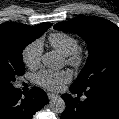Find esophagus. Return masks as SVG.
I'll return each mask as SVG.
<instances>
[{"label": "esophagus", "instance_id": "obj_1", "mask_svg": "<svg viewBox=\"0 0 119 119\" xmlns=\"http://www.w3.org/2000/svg\"><path fill=\"white\" fill-rule=\"evenodd\" d=\"M47 95H48V98H49L50 100H51V99H54V98H56V97H58L57 94H54V93H51V92L47 93Z\"/></svg>", "mask_w": 119, "mask_h": 119}]
</instances>
